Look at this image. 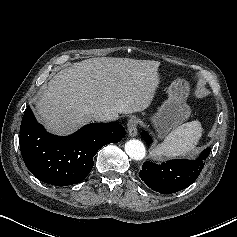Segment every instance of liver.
I'll return each instance as SVG.
<instances>
[{"mask_svg":"<svg viewBox=\"0 0 237 237\" xmlns=\"http://www.w3.org/2000/svg\"><path fill=\"white\" fill-rule=\"evenodd\" d=\"M160 62L101 57L74 63L49 82L36 101L39 119L64 135L99 111L130 114L149 107L160 83Z\"/></svg>","mask_w":237,"mask_h":237,"instance_id":"liver-1","label":"liver"}]
</instances>
